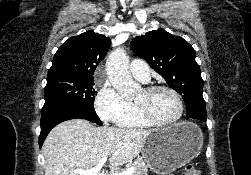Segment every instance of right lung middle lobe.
<instances>
[{"mask_svg":"<svg viewBox=\"0 0 251 175\" xmlns=\"http://www.w3.org/2000/svg\"><path fill=\"white\" fill-rule=\"evenodd\" d=\"M94 81L68 77L47 78L45 103L65 102L78 106L94 108Z\"/></svg>","mask_w":251,"mask_h":175,"instance_id":"right-lung-middle-lobe-1","label":"right lung middle lobe"}]
</instances>
